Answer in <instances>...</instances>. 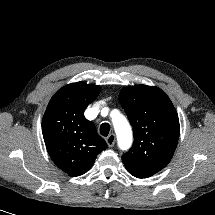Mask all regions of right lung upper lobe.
Instances as JSON below:
<instances>
[{"instance_id": "obj_1", "label": "right lung upper lobe", "mask_w": 215, "mask_h": 215, "mask_svg": "<svg viewBox=\"0 0 215 215\" xmlns=\"http://www.w3.org/2000/svg\"><path fill=\"white\" fill-rule=\"evenodd\" d=\"M100 87L76 82L65 85L50 100L42 120V133L52 161L71 176L88 171L107 148L95 125L84 117Z\"/></svg>"}]
</instances>
